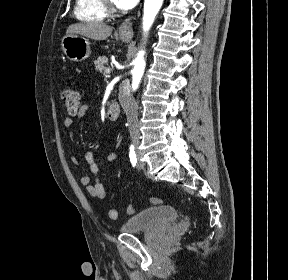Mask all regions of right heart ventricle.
<instances>
[{
	"instance_id": "obj_1",
	"label": "right heart ventricle",
	"mask_w": 288,
	"mask_h": 280,
	"mask_svg": "<svg viewBox=\"0 0 288 280\" xmlns=\"http://www.w3.org/2000/svg\"><path fill=\"white\" fill-rule=\"evenodd\" d=\"M74 14L84 22H101L107 16L103 0H76Z\"/></svg>"
}]
</instances>
